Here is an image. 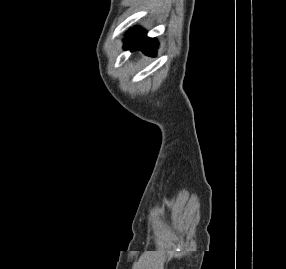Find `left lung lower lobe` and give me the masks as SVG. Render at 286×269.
I'll use <instances>...</instances> for the list:
<instances>
[{
    "label": "left lung lower lobe",
    "mask_w": 286,
    "mask_h": 269,
    "mask_svg": "<svg viewBox=\"0 0 286 269\" xmlns=\"http://www.w3.org/2000/svg\"><path fill=\"white\" fill-rule=\"evenodd\" d=\"M157 41L145 37L142 29H132L127 38L124 39V48L131 50H141L146 55L154 56L156 54Z\"/></svg>",
    "instance_id": "left-lung-lower-lobe-1"
}]
</instances>
